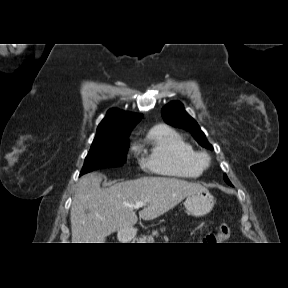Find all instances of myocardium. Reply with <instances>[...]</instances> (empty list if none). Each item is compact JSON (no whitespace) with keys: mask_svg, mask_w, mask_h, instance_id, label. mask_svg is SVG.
<instances>
[{"mask_svg":"<svg viewBox=\"0 0 288 288\" xmlns=\"http://www.w3.org/2000/svg\"><path fill=\"white\" fill-rule=\"evenodd\" d=\"M196 162L204 169L210 165V156L206 152H196L195 153Z\"/></svg>","mask_w":288,"mask_h":288,"instance_id":"obj_1","label":"myocardium"}]
</instances>
